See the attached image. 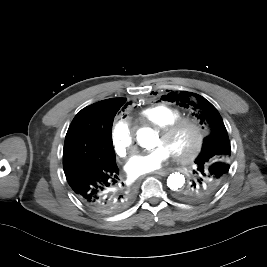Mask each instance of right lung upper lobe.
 <instances>
[{
  "instance_id": "cb5924a9",
  "label": "right lung upper lobe",
  "mask_w": 267,
  "mask_h": 267,
  "mask_svg": "<svg viewBox=\"0 0 267 267\" xmlns=\"http://www.w3.org/2000/svg\"><path fill=\"white\" fill-rule=\"evenodd\" d=\"M125 102V98H112L94 103L82 109L75 116L71 125L85 126L92 136L104 138L112 128L105 122L108 110L113 107H121Z\"/></svg>"
}]
</instances>
